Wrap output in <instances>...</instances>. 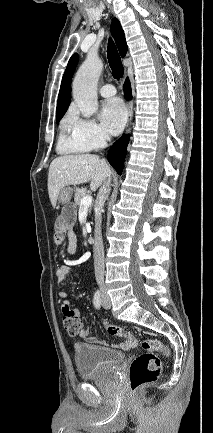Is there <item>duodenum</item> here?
Returning <instances> with one entry per match:
<instances>
[{
  "instance_id": "1",
  "label": "duodenum",
  "mask_w": 213,
  "mask_h": 433,
  "mask_svg": "<svg viewBox=\"0 0 213 433\" xmlns=\"http://www.w3.org/2000/svg\"><path fill=\"white\" fill-rule=\"evenodd\" d=\"M88 242H89L90 244H94V243H95V238H94L93 236H89V237H88Z\"/></svg>"
}]
</instances>
